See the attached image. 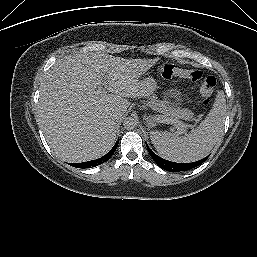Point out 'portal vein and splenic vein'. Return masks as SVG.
I'll return each mask as SVG.
<instances>
[{
  "label": "portal vein and splenic vein",
  "mask_w": 257,
  "mask_h": 257,
  "mask_svg": "<svg viewBox=\"0 0 257 257\" xmlns=\"http://www.w3.org/2000/svg\"><path fill=\"white\" fill-rule=\"evenodd\" d=\"M102 85L104 87H102ZM106 84L105 83H102L98 89L95 91V94L96 95H101V94H105L107 91H106ZM160 119L168 124H172L176 129H177V134L178 135H181L185 132V129H187L188 127H192L190 125H187V124H184L183 122L179 121V120H174V119H171V118H166V117H160Z\"/></svg>",
  "instance_id": "1"
}]
</instances>
